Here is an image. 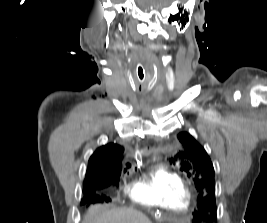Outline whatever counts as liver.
Returning a JSON list of instances; mask_svg holds the SVG:
<instances>
[{"instance_id": "6515ba94", "label": "liver", "mask_w": 267, "mask_h": 223, "mask_svg": "<svg viewBox=\"0 0 267 223\" xmlns=\"http://www.w3.org/2000/svg\"><path fill=\"white\" fill-rule=\"evenodd\" d=\"M83 223H152L142 212L132 208H116L103 210L99 206L93 208L84 217Z\"/></svg>"}]
</instances>
